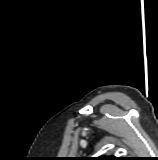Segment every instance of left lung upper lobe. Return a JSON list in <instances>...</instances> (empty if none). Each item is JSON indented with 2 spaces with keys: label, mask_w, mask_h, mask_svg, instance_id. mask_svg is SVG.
Returning <instances> with one entry per match:
<instances>
[{
  "label": "left lung upper lobe",
  "mask_w": 158,
  "mask_h": 160,
  "mask_svg": "<svg viewBox=\"0 0 158 160\" xmlns=\"http://www.w3.org/2000/svg\"><path fill=\"white\" fill-rule=\"evenodd\" d=\"M93 160H121V159L114 156H108V157H96Z\"/></svg>",
  "instance_id": "5c2ea615"
}]
</instances>
